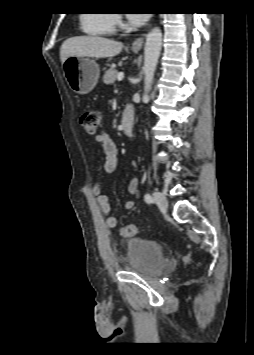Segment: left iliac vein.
<instances>
[{
	"instance_id": "1",
	"label": "left iliac vein",
	"mask_w": 254,
	"mask_h": 355,
	"mask_svg": "<svg viewBox=\"0 0 254 355\" xmlns=\"http://www.w3.org/2000/svg\"><path fill=\"white\" fill-rule=\"evenodd\" d=\"M154 201L162 212H165L168 207L166 196L161 192H154Z\"/></svg>"
}]
</instances>
